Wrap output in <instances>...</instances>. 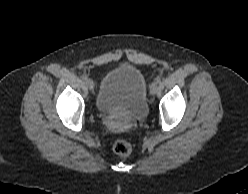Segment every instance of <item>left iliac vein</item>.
Listing matches in <instances>:
<instances>
[{
	"instance_id": "1",
	"label": "left iliac vein",
	"mask_w": 248,
	"mask_h": 194,
	"mask_svg": "<svg viewBox=\"0 0 248 194\" xmlns=\"http://www.w3.org/2000/svg\"><path fill=\"white\" fill-rule=\"evenodd\" d=\"M158 90H159V87H158L157 83L153 82L150 86V92L152 94H156L158 92Z\"/></svg>"
}]
</instances>
